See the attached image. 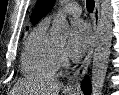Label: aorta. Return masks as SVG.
<instances>
[{"label": "aorta", "instance_id": "obj_1", "mask_svg": "<svg viewBox=\"0 0 119 95\" xmlns=\"http://www.w3.org/2000/svg\"><path fill=\"white\" fill-rule=\"evenodd\" d=\"M66 0H60L63 5ZM100 19L97 30V41L93 54L91 94L102 95L106 72L109 64L110 49L112 44V7L110 0H101ZM52 31L55 36L67 37L69 24L66 18L59 14L54 20Z\"/></svg>", "mask_w": 119, "mask_h": 95}]
</instances>
